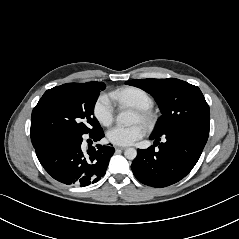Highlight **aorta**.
I'll return each instance as SVG.
<instances>
[{
	"instance_id": "obj_1",
	"label": "aorta",
	"mask_w": 239,
	"mask_h": 239,
	"mask_svg": "<svg viewBox=\"0 0 239 239\" xmlns=\"http://www.w3.org/2000/svg\"><path fill=\"white\" fill-rule=\"evenodd\" d=\"M116 121L122 125H129L135 121V114L130 110H122L118 113ZM128 160H134L137 156V151L134 148H127L124 152Z\"/></svg>"
}]
</instances>
